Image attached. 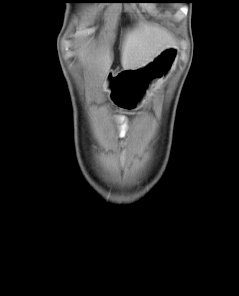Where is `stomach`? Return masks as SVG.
I'll return each instance as SVG.
<instances>
[{"mask_svg":"<svg viewBox=\"0 0 239 296\" xmlns=\"http://www.w3.org/2000/svg\"><path fill=\"white\" fill-rule=\"evenodd\" d=\"M178 49L175 46L165 48L152 61L138 69H120L116 84H145L149 78L165 75L175 62ZM148 85H108L105 90L109 100L123 111H137L141 101L145 100L142 90H148Z\"/></svg>","mask_w":239,"mask_h":296,"instance_id":"obj_1","label":"stomach"}]
</instances>
